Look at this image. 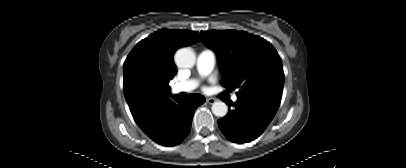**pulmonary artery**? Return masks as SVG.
<instances>
[{"instance_id":"1","label":"pulmonary artery","mask_w":406,"mask_h":168,"mask_svg":"<svg viewBox=\"0 0 406 168\" xmlns=\"http://www.w3.org/2000/svg\"><path fill=\"white\" fill-rule=\"evenodd\" d=\"M216 63V55L212 50L206 49L199 53L197 58V71L200 76H207L212 72ZM198 79L192 78L172 86V92L174 94L191 92L198 86ZM232 100H237V95L232 96Z\"/></svg>"}]
</instances>
